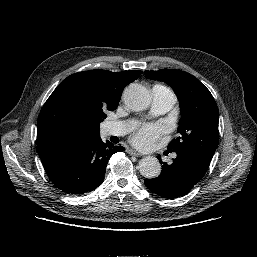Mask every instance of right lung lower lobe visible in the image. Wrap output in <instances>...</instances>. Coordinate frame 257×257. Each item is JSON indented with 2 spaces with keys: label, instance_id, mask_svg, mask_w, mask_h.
Listing matches in <instances>:
<instances>
[{
  "label": "right lung lower lobe",
  "instance_id": "1",
  "mask_svg": "<svg viewBox=\"0 0 257 257\" xmlns=\"http://www.w3.org/2000/svg\"><path fill=\"white\" fill-rule=\"evenodd\" d=\"M123 147L99 137L69 141L52 147L40 158L53 184L70 194H83L100 186L110 157Z\"/></svg>",
  "mask_w": 257,
  "mask_h": 257
}]
</instances>
